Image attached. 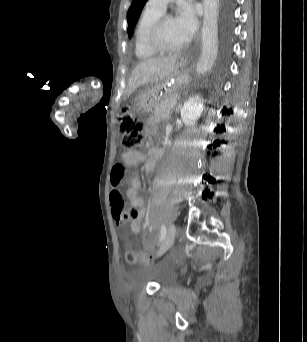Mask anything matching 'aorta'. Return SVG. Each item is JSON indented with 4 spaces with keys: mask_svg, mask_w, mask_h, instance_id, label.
<instances>
[{
    "mask_svg": "<svg viewBox=\"0 0 307 342\" xmlns=\"http://www.w3.org/2000/svg\"><path fill=\"white\" fill-rule=\"evenodd\" d=\"M203 6L202 54L197 64V72H207L212 68L218 52L219 0H203Z\"/></svg>",
    "mask_w": 307,
    "mask_h": 342,
    "instance_id": "aorta-1",
    "label": "aorta"
}]
</instances>
